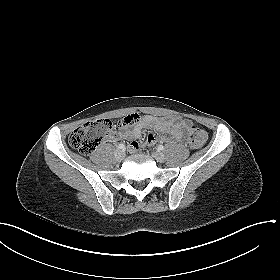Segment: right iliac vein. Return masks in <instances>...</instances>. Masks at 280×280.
I'll list each match as a JSON object with an SVG mask.
<instances>
[{"instance_id": "right-iliac-vein-1", "label": "right iliac vein", "mask_w": 280, "mask_h": 280, "mask_svg": "<svg viewBox=\"0 0 280 280\" xmlns=\"http://www.w3.org/2000/svg\"><path fill=\"white\" fill-rule=\"evenodd\" d=\"M124 156H125V154L122 150H117L115 152V158H116L117 161H122Z\"/></svg>"}]
</instances>
